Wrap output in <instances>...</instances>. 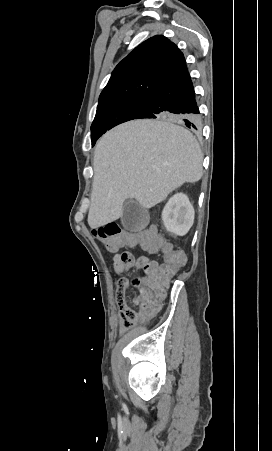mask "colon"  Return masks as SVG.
Masks as SVG:
<instances>
[{"label": "colon", "mask_w": 272, "mask_h": 451, "mask_svg": "<svg viewBox=\"0 0 272 451\" xmlns=\"http://www.w3.org/2000/svg\"><path fill=\"white\" fill-rule=\"evenodd\" d=\"M94 236L107 246L108 250H132L134 244L138 249H148L149 256H160L161 249H164L165 264L158 265L155 258L147 260L136 258L129 251L119 253V258L112 261L114 267L121 271L140 267L145 273L136 274L133 280L129 281L130 289H139V294L135 295V302L141 303V310H156L161 303H166L167 296L165 289L171 283L173 271H182L187 253L182 247H171L169 240H163L159 230H128L117 223H107L94 230ZM157 266L155 269L153 267ZM136 311L126 309L122 313L123 329H128L134 319Z\"/></svg>", "instance_id": "1"}]
</instances>
